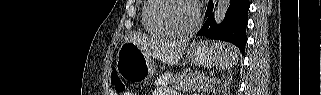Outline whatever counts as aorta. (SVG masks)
I'll return each mask as SVG.
<instances>
[{
	"mask_svg": "<svg viewBox=\"0 0 321 95\" xmlns=\"http://www.w3.org/2000/svg\"><path fill=\"white\" fill-rule=\"evenodd\" d=\"M230 0H217L214 10V19L217 25L221 24L226 16L227 9L230 6Z\"/></svg>",
	"mask_w": 321,
	"mask_h": 95,
	"instance_id": "obj_1",
	"label": "aorta"
}]
</instances>
